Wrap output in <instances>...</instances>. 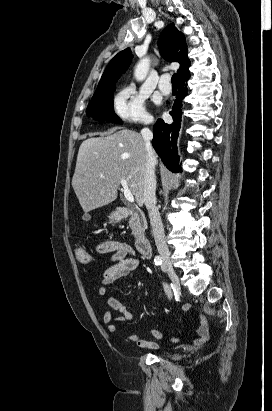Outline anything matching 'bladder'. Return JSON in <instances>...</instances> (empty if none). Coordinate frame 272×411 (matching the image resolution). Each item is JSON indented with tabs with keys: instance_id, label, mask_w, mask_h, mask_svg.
Listing matches in <instances>:
<instances>
[{
	"instance_id": "31cf9c89",
	"label": "bladder",
	"mask_w": 272,
	"mask_h": 411,
	"mask_svg": "<svg viewBox=\"0 0 272 411\" xmlns=\"http://www.w3.org/2000/svg\"><path fill=\"white\" fill-rule=\"evenodd\" d=\"M173 360H178L177 356L172 357Z\"/></svg>"
}]
</instances>
